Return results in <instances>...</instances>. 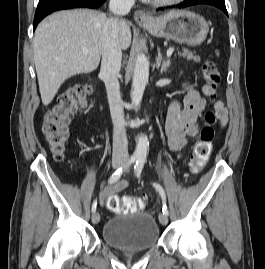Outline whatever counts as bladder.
<instances>
[{"label": "bladder", "instance_id": "1", "mask_svg": "<svg viewBox=\"0 0 265 269\" xmlns=\"http://www.w3.org/2000/svg\"><path fill=\"white\" fill-rule=\"evenodd\" d=\"M160 231L155 218L146 212L116 215L103 227V240L122 251H146L155 247Z\"/></svg>", "mask_w": 265, "mask_h": 269}]
</instances>
